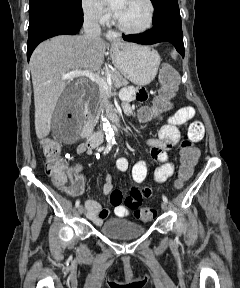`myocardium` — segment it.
Instances as JSON below:
<instances>
[{"mask_svg": "<svg viewBox=\"0 0 240 288\" xmlns=\"http://www.w3.org/2000/svg\"><path fill=\"white\" fill-rule=\"evenodd\" d=\"M145 1L149 7V19H148L147 24L137 29L129 28L126 25H124L122 21L119 19V17L117 16L115 20L120 30L129 34H141V33L148 31L153 26L154 18H155V6L152 0H145Z\"/></svg>", "mask_w": 240, "mask_h": 288, "instance_id": "1", "label": "myocardium"}]
</instances>
